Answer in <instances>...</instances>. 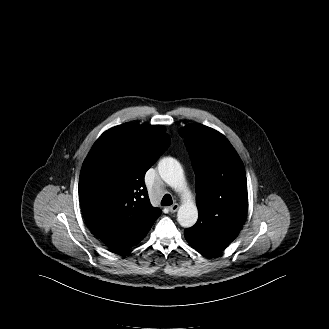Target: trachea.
Here are the masks:
<instances>
[{"instance_id":"obj_1","label":"trachea","mask_w":329,"mask_h":329,"mask_svg":"<svg viewBox=\"0 0 329 329\" xmlns=\"http://www.w3.org/2000/svg\"><path fill=\"white\" fill-rule=\"evenodd\" d=\"M172 197L169 194H165L162 198L161 205L162 206H170L172 205Z\"/></svg>"}]
</instances>
